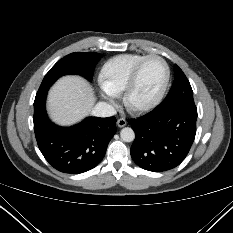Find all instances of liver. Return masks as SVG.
<instances>
[{"mask_svg":"<svg viewBox=\"0 0 233 233\" xmlns=\"http://www.w3.org/2000/svg\"><path fill=\"white\" fill-rule=\"evenodd\" d=\"M95 102L89 83L79 76L59 79L48 94L47 109L53 122L70 126L88 115Z\"/></svg>","mask_w":233,"mask_h":233,"instance_id":"1","label":"liver"}]
</instances>
